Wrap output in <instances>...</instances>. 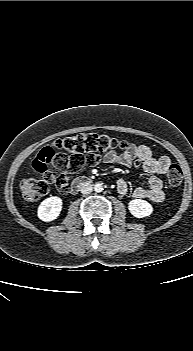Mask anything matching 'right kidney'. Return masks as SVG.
I'll return each instance as SVG.
<instances>
[{
    "mask_svg": "<svg viewBox=\"0 0 193 351\" xmlns=\"http://www.w3.org/2000/svg\"><path fill=\"white\" fill-rule=\"evenodd\" d=\"M62 199L57 196L49 197L41 202L38 207V218L44 222H50L60 215Z\"/></svg>",
    "mask_w": 193,
    "mask_h": 351,
    "instance_id": "right-kidney-1",
    "label": "right kidney"
}]
</instances>
